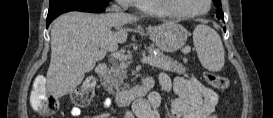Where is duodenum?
I'll return each mask as SVG.
<instances>
[{"label": "duodenum", "mask_w": 273, "mask_h": 118, "mask_svg": "<svg viewBox=\"0 0 273 118\" xmlns=\"http://www.w3.org/2000/svg\"><path fill=\"white\" fill-rule=\"evenodd\" d=\"M108 67L105 63H99L96 66V74L99 77H104L107 73ZM152 88V82L146 81L142 85L129 90H122L115 94L114 100L118 106H126L138 98L144 97L145 94Z\"/></svg>", "instance_id": "1"}]
</instances>
